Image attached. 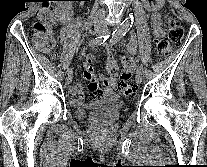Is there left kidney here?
I'll return each instance as SVG.
<instances>
[{
	"mask_svg": "<svg viewBox=\"0 0 207 167\" xmlns=\"http://www.w3.org/2000/svg\"><path fill=\"white\" fill-rule=\"evenodd\" d=\"M156 1L158 2V5H160L159 3H160L161 0H156Z\"/></svg>",
	"mask_w": 207,
	"mask_h": 167,
	"instance_id": "left-kidney-1",
	"label": "left kidney"
}]
</instances>
